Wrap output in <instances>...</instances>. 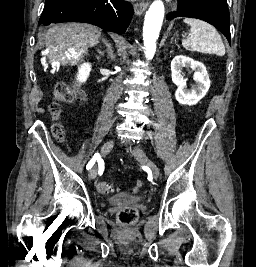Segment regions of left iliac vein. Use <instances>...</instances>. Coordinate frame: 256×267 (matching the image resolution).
I'll return each instance as SVG.
<instances>
[{"instance_id":"4c4485c4","label":"left iliac vein","mask_w":256,"mask_h":267,"mask_svg":"<svg viewBox=\"0 0 256 267\" xmlns=\"http://www.w3.org/2000/svg\"><path fill=\"white\" fill-rule=\"evenodd\" d=\"M133 157L142 165L148 166L154 178L157 179L159 177V169L157 165L152 160H150L144 152L136 148V150L133 152Z\"/></svg>"}]
</instances>
